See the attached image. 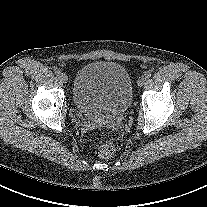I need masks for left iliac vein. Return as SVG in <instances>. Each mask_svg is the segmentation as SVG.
I'll return each instance as SVG.
<instances>
[{"label": "left iliac vein", "instance_id": "left-iliac-vein-1", "mask_svg": "<svg viewBox=\"0 0 207 207\" xmlns=\"http://www.w3.org/2000/svg\"><path fill=\"white\" fill-rule=\"evenodd\" d=\"M146 83V77L142 76L138 79V86H143Z\"/></svg>", "mask_w": 207, "mask_h": 207}]
</instances>
